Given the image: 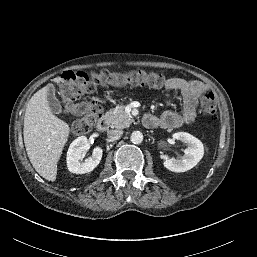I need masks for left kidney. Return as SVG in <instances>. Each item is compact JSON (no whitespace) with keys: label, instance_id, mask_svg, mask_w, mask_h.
Instances as JSON below:
<instances>
[{"label":"left kidney","instance_id":"5707ae66","mask_svg":"<svg viewBox=\"0 0 257 257\" xmlns=\"http://www.w3.org/2000/svg\"><path fill=\"white\" fill-rule=\"evenodd\" d=\"M173 138L182 141L188 147L184 150V155L180 159L166 157L163 165L172 172H186L195 167L203 158V144L199 139L186 132L175 133Z\"/></svg>","mask_w":257,"mask_h":257}]
</instances>
